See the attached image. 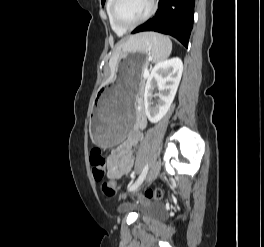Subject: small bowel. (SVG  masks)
<instances>
[{
    "instance_id": "obj_1",
    "label": "small bowel",
    "mask_w": 264,
    "mask_h": 247,
    "mask_svg": "<svg viewBox=\"0 0 264 247\" xmlns=\"http://www.w3.org/2000/svg\"><path fill=\"white\" fill-rule=\"evenodd\" d=\"M146 118L140 115L127 138L108 156L107 177L116 181L125 176L133 167V149L143 138Z\"/></svg>"
}]
</instances>
